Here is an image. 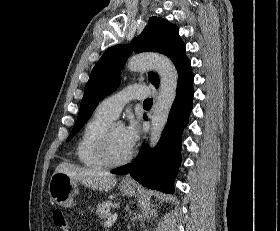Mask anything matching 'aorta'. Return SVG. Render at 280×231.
<instances>
[{"label":"aorta","instance_id":"762f6f07","mask_svg":"<svg viewBox=\"0 0 280 231\" xmlns=\"http://www.w3.org/2000/svg\"><path fill=\"white\" fill-rule=\"evenodd\" d=\"M130 72H142L147 68H153L159 74L160 88L156 104L153 108L150 129V145H157L161 133L167 123L169 112L176 98L178 82L177 70L169 58L161 54H140L134 56L127 64Z\"/></svg>","mask_w":280,"mask_h":231}]
</instances>
